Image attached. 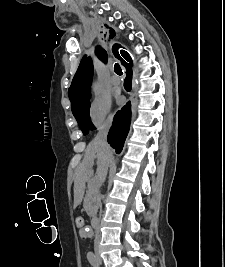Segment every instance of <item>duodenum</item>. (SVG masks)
Here are the masks:
<instances>
[{"mask_svg": "<svg viewBox=\"0 0 225 267\" xmlns=\"http://www.w3.org/2000/svg\"><path fill=\"white\" fill-rule=\"evenodd\" d=\"M91 225H92L93 229H97L99 227V219L96 215L92 216Z\"/></svg>", "mask_w": 225, "mask_h": 267, "instance_id": "obj_1", "label": "duodenum"}]
</instances>
